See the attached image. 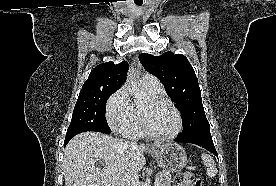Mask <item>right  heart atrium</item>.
<instances>
[{
  "label": "right heart atrium",
  "mask_w": 276,
  "mask_h": 186,
  "mask_svg": "<svg viewBox=\"0 0 276 186\" xmlns=\"http://www.w3.org/2000/svg\"><path fill=\"white\" fill-rule=\"evenodd\" d=\"M106 119L111 129L117 133L129 135L135 130L138 117L126 86L119 88L108 99Z\"/></svg>",
  "instance_id": "obj_1"
}]
</instances>
